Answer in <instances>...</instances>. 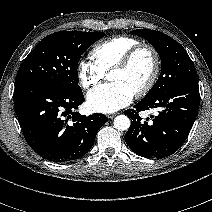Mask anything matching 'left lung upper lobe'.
Listing matches in <instances>:
<instances>
[{"mask_svg": "<svg viewBox=\"0 0 212 212\" xmlns=\"http://www.w3.org/2000/svg\"><path fill=\"white\" fill-rule=\"evenodd\" d=\"M130 33L150 42L161 58V74L143 100L165 92L175 85L198 78L195 66L186 50L171 37L148 29H136Z\"/></svg>", "mask_w": 212, "mask_h": 212, "instance_id": "5c2ea615", "label": "left lung upper lobe"}]
</instances>
